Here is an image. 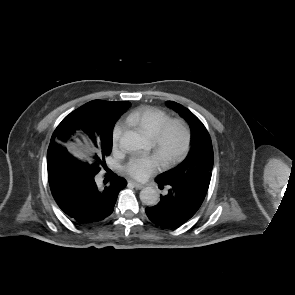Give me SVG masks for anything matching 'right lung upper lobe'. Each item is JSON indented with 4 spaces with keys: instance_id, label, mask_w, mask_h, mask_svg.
Returning <instances> with one entry per match:
<instances>
[{
    "instance_id": "cb5924a9",
    "label": "right lung upper lobe",
    "mask_w": 295,
    "mask_h": 295,
    "mask_svg": "<svg viewBox=\"0 0 295 295\" xmlns=\"http://www.w3.org/2000/svg\"><path fill=\"white\" fill-rule=\"evenodd\" d=\"M129 106V102H109L103 100H93L84 104L65 117L58 125L52 135L48 150L56 146L61 148L65 152V155H70L64 146V142L70 137L69 135V137L65 139V136L68 134V132L72 130V118L76 113L83 111L86 115V118L89 120V129L85 131H82L81 129L78 130L80 133L90 138L91 136L96 135V130L100 129L105 122L111 120L117 121Z\"/></svg>"
}]
</instances>
